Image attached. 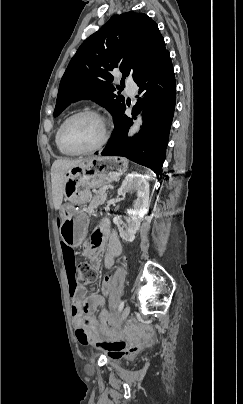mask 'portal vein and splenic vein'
I'll list each match as a JSON object with an SVG mask.
<instances>
[{"label": "portal vein and splenic vein", "instance_id": "portal-vein-and-splenic-vein-1", "mask_svg": "<svg viewBox=\"0 0 243 404\" xmlns=\"http://www.w3.org/2000/svg\"><path fill=\"white\" fill-rule=\"evenodd\" d=\"M109 186H103L102 190H108Z\"/></svg>", "mask_w": 243, "mask_h": 404}]
</instances>
